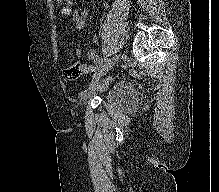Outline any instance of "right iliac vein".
<instances>
[{"label": "right iliac vein", "mask_w": 219, "mask_h": 192, "mask_svg": "<svg viewBox=\"0 0 219 192\" xmlns=\"http://www.w3.org/2000/svg\"><path fill=\"white\" fill-rule=\"evenodd\" d=\"M118 59V56H114L111 59L107 60L104 65L95 73L94 78L96 80H99L100 78H102L104 75H106V73H108L113 66L115 65L116 61ZM89 98V92L84 91L80 94V101L82 103H86V101Z\"/></svg>", "instance_id": "1"}]
</instances>
